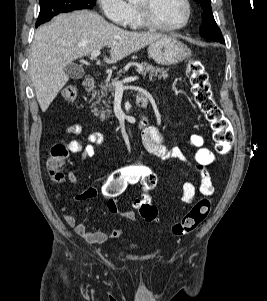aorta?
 <instances>
[{
    "mask_svg": "<svg viewBox=\"0 0 267 301\" xmlns=\"http://www.w3.org/2000/svg\"><path fill=\"white\" fill-rule=\"evenodd\" d=\"M129 2H134V1H136V0H128Z\"/></svg>",
    "mask_w": 267,
    "mask_h": 301,
    "instance_id": "aorta-1",
    "label": "aorta"
}]
</instances>
